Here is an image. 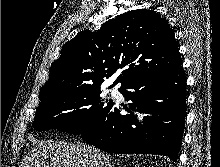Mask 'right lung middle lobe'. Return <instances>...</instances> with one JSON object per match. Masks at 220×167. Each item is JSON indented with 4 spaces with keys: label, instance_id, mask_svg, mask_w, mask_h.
I'll return each instance as SVG.
<instances>
[{
    "label": "right lung middle lobe",
    "instance_id": "right-lung-middle-lobe-1",
    "mask_svg": "<svg viewBox=\"0 0 220 167\" xmlns=\"http://www.w3.org/2000/svg\"><path fill=\"white\" fill-rule=\"evenodd\" d=\"M112 103V99L101 97L100 87L62 91L39 104L33 128L81 134L94 126Z\"/></svg>",
    "mask_w": 220,
    "mask_h": 167
}]
</instances>
